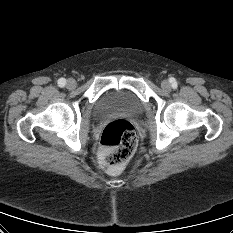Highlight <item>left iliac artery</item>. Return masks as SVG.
<instances>
[{
    "label": "left iliac artery",
    "instance_id": "left-iliac-artery-1",
    "mask_svg": "<svg viewBox=\"0 0 233 233\" xmlns=\"http://www.w3.org/2000/svg\"><path fill=\"white\" fill-rule=\"evenodd\" d=\"M171 83H172V87L175 89V88H177V82L175 81V79H173L172 81H171Z\"/></svg>",
    "mask_w": 233,
    "mask_h": 233
}]
</instances>
